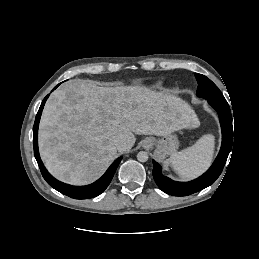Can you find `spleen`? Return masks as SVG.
<instances>
[{
  "instance_id": "obj_1",
  "label": "spleen",
  "mask_w": 259,
  "mask_h": 259,
  "mask_svg": "<svg viewBox=\"0 0 259 259\" xmlns=\"http://www.w3.org/2000/svg\"><path fill=\"white\" fill-rule=\"evenodd\" d=\"M215 148L212 134L202 136L194 145L173 153L168 159L173 169L183 178L193 179L211 164Z\"/></svg>"
}]
</instances>
